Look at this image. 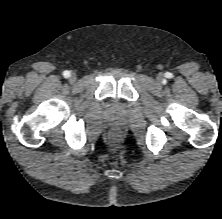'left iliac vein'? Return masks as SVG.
I'll list each match as a JSON object with an SVG mask.
<instances>
[{
  "instance_id": "1",
  "label": "left iliac vein",
  "mask_w": 222,
  "mask_h": 219,
  "mask_svg": "<svg viewBox=\"0 0 222 219\" xmlns=\"http://www.w3.org/2000/svg\"><path fill=\"white\" fill-rule=\"evenodd\" d=\"M157 79H158L159 81H161V79H162V75L159 74L158 77H157Z\"/></svg>"
}]
</instances>
